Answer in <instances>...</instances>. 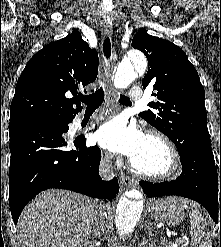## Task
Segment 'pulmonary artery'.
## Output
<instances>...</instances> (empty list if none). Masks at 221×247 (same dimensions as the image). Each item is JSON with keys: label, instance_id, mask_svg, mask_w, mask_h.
<instances>
[{"label": "pulmonary artery", "instance_id": "e3ab8cb5", "mask_svg": "<svg viewBox=\"0 0 221 247\" xmlns=\"http://www.w3.org/2000/svg\"><path fill=\"white\" fill-rule=\"evenodd\" d=\"M129 97L131 100H140L142 98V91L139 88H134L130 91Z\"/></svg>", "mask_w": 221, "mask_h": 247}]
</instances>
